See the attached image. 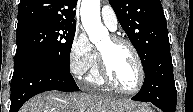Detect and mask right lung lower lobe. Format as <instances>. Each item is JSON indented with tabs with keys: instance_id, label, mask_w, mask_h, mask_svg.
Instances as JSON below:
<instances>
[{
	"instance_id": "1",
	"label": "right lung lower lobe",
	"mask_w": 193,
	"mask_h": 112,
	"mask_svg": "<svg viewBox=\"0 0 193 112\" xmlns=\"http://www.w3.org/2000/svg\"><path fill=\"white\" fill-rule=\"evenodd\" d=\"M50 90L78 91L70 70L47 60H34L14 69L10 112H18L31 97Z\"/></svg>"
}]
</instances>
